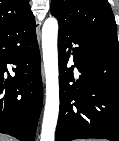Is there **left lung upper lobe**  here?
I'll return each instance as SVG.
<instances>
[{
	"label": "left lung upper lobe",
	"mask_w": 119,
	"mask_h": 141,
	"mask_svg": "<svg viewBox=\"0 0 119 141\" xmlns=\"http://www.w3.org/2000/svg\"><path fill=\"white\" fill-rule=\"evenodd\" d=\"M51 13L59 24L119 46L115 18L107 0H52Z\"/></svg>",
	"instance_id": "1"
}]
</instances>
